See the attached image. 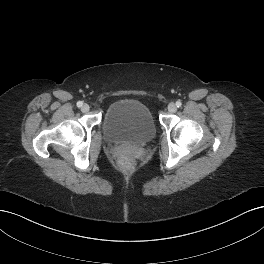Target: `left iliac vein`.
Listing matches in <instances>:
<instances>
[{"mask_svg":"<svg viewBox=\"0 0 264 264\" xmlns=\"http://www.w3.org/2000/svg\"><path fill=\"white\" fill-rule=\"evenodd\" d=\"M168 111L171 112V113H174V112L177 111V106L175 105V103H169Z\"/></svg>","mask_w":264,"mask_h":264,"instance_id":"obj_1","label":"left iliac vein"}]
</instances>
